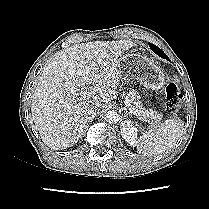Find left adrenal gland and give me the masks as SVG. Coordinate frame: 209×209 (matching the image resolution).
Returning <instances> with one entry per match:
<instances>
[{
	"label": "left adrenal gland",
	"instance_id": "obj_1",
	"mask_svg": "<svg viewBox=\"0 0 209 209\" xmlns=\"http://www.w3.org/2000/svg\"><path fill=\"white\" fill-rule=\"evenodd\" d=\"M127 115H128V111L125 109L124 117H126Z\"/></svg>",
	"mask_w": 209,
	"mask_h": 209
}]
</instances>
